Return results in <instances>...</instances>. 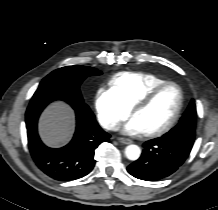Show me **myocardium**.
<instances>
[{
	"mask_svg": "<svg viewBox=\"0 0 218 210\" xmlns=\"http://www.w3.org/2000/svg\"><path fill=\"white\" fill-rule=\"evenodd\" d=\"M173 85L177 88L178 93H179V102L177 109L173 115V117L170 119V121L163 127L149 131V132H143V136L145 137H158L161 136L167 132H169L175 124L178 122L183 106H184V92L182 87L175 81H164L156 86H154L152 89H150L139 101L135 103V105L131 109V115L134 116V114L138 111L141 110L145 107H147L153 100L154 98L158 95V93L164 89L166 86Z\"/></svg>",
	"mask_w": 218,
	"mask_h": 210,
	"instance_id": "f54148a6",
	"label": "myocardium"
}]
</instances>
